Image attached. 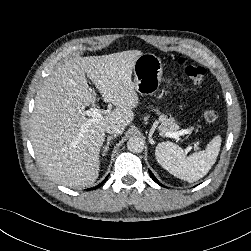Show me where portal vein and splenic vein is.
Wrapping results in <instances>:
<instances>
[{
    "label": "portal vein and splenic vein",
    "instance_id": "1",
    "mask_svg": "<svg viewBox=\"0 0 251 251\" xmlns=\"http://www.w3.org/2000/svg\"><path fill=\"white\" fill-rule=\"evenodd\" d=\"M87 116L91 117L90 119H88L86 125H90L92 122H96L97 120L102 118V114L104 113L103 110L101 109H97V108H91L89 110H86L84 112ZM188 131L187 130H180L177 132H173V133H166L167 137L170 138H178L181 135L187 134Z\"/></svg>",
    "mask_w": 251,
    "mask_h": 251
}]
</instances>
